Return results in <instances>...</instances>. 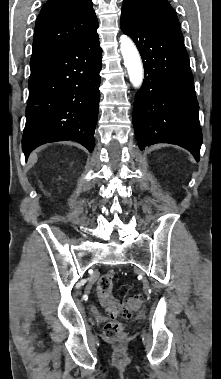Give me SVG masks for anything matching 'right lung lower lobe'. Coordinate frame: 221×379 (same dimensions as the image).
I'll return each mask as SVG.
<instances>
[{
  "label": "right lung lower lobe",
  "instance_id": "1",
  "mask_svg": "<svg viewBox=\"0 0 221 379\" xmlns=\"http://www.w3.org/2000/svg\"><path fill=\"white\" fill-rule=\"evenodd\" d=\"M97 28L61 49L30 60L29 98L22 149L74 140L92 152L100 100L102 49Z\"/></svg>",
  "mask_w": 221,
  "mask_h": 379
}]
</instances>
